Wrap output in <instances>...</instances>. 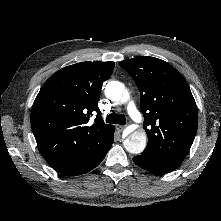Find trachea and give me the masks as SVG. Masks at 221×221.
<instances>
[{"label":"trachea","mask_w":221,"mask_h":221,"mask_svg":"<svg viewBox=\"0 0 221 221\" xmlns=\"http://www.w3.org/2000/svg\"><path fill=\"white\" fill-rule=\"evenodd\" d=\"M106 122L110 124H120L125 125L126 124V118L124 115L117 113H111L106 117Z\"/></svg>","instance_id":"trachea-1"}]
</instances>
